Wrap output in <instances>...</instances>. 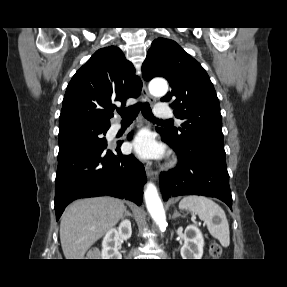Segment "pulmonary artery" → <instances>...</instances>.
<instances>
[{
  "label": "pulmonary artery",
  "instance_id": "1",
  "mask_svg": "<svg viewBox=\"0 0 287 287\" xmlns=\"http://www.w3.org/2000/svg\"><path fill=\"white\" fill-rule=\"evenodd\" d=\"M156 116L159 117H169L172 115L171 109L166 105V104H157L155 106V111H154ZM121 129L120 124H115L113 127V131L117 132Z\"/></svg>",
  "mask_w": 287,
  "mask_h": 287
}]
</instances>
